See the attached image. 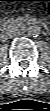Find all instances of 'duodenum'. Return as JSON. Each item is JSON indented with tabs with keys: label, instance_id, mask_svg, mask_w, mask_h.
Returning a JSON list of instances; mask_svg holds the SVG:
<instances>
[{
	"label": "duodenum",
	"instance_id": "1",
	"mask_svg": "<svg viewBox=\"0 0 50 111\" xmlns=\"http://www.w3.org/2000/svg\"><path fill=\"white\" fill-rule=\"evenodd\" d=\"M30 24L34 25V23H33V22H30ZM37 24H39V22H37ZM3 37H4V35H3Z\"/></svg>",
	"mask_w": 50,
	"mask_h": 111
}]
</instances>
